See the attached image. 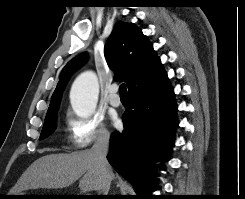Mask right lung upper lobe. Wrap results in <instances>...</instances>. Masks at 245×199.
Wrapping results in <instances>:
<instances>
[{
	"label": "right lung upper lobe",
	"mask_w": 245,
	"mask_h": 199,
	"mask_svg": "<svg viewBox=\"0 0 245 199\" xmlns=\"http://www.w3.org/2000/svg\"><path fill=\"white\" fill-rule=\"evenodd\" d=\"M104 52L108 65L117 72L115 79L127 83L129 94L145 92L167 78L152 44L133 24L116 23L107 39ZM86 60L87 54L81 53L65 65L46 116L58 111L62 93L71 75Z\"/></svg>",
	"instance_id": "cb5924a9"
}]
</instances>
